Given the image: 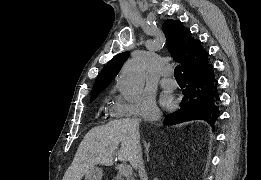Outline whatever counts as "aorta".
<instances>
[{"instance_id":"762f6f07","label":"aorta","mask_w":261,"mask_h":180,"mask_svg":"<svg viewBox=\"0 0 261 180\" xmlns=\"http://www.w3.org/2000/svg\"><path fill=\"white\" fill-rule=\"evenodd\" d=\"M146 65L143 61L132 58L126 62L118 79V88L129 102H138L144 89Z\"/></svg>"}]
</instances>
